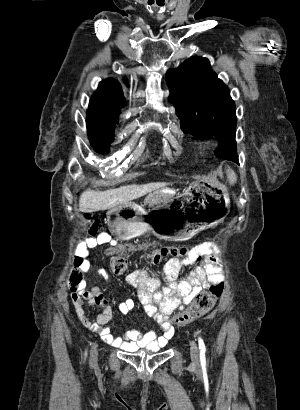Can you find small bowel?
I'll return each mask as SVG.
<instances>
[{"label":"small bowel","instance_id":"small-bowel-1","mask_svg":"<svg viewBox=\"0 0 300 410\" xmlns=\"http://www.w3.org/2000/svg\"><path fill=\"white\" fill-rule=\"evenodd\" d=\"M106 241L108 236L100 234L79 243L76 247L77 254L83 257L79 263L81 268L93 269L104 279L109 277L106 269L93 268L88 255L92 248ZM198 255H204V260L195 265L184 278H180V269L193 265ZM221 279L218 249L213 243L196 244L191 249V256L184 260L169 259L164 265L162 280L142 268L131 271L126 275V281L137 290L138 299L145 313L155 322L158 331L131 330L124 336H115L107 326L113 319V308L110 300L104 297L98 286L87 289L86 283L83 282L82 287L71 294V298L81 323L98 333L107 344L131 352L140 348L158 350L174 335L171 323L173 313L182 310L184 305L190 303L209 283L219 282ZM86 304L99 310L97 317L89 315L85 308ZM134 308L135 301L132 299H126L118 305V311L122 315L128 314Z\"/></svg>","mask_w":300,"mask_h":410}]
</instances>
